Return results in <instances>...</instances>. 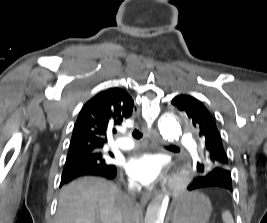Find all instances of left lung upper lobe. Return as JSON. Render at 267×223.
Masks as SVG:
<instances>
[{
	"label": "left lung upper lobe",
	"instance_id": "obj_1",
	"mask_svg": "<svg viewBox=\"0 0 267 223\" xmlns=\"http://www.w3.org/2000/svg\"><path fill=\"white\" fill-rule=\"evenodd\" d=\"M172 105L183 114L201 145V158L194 163L196 172L230 173V163L214 115L199 100L189 95L176 96Z\"/></svg>",
	"mask_w": 267,
	"mask_h": 223
}]
</instances>
